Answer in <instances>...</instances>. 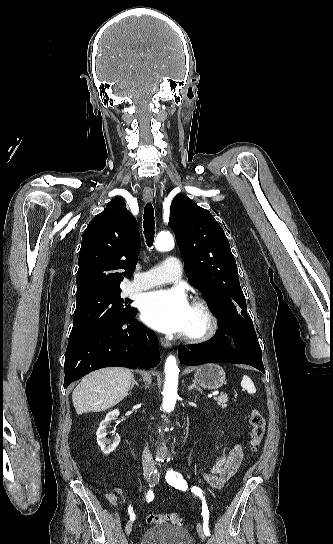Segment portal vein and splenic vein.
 Returning a JSON list of instances; mask_svg holds the SVG:
<instances>
[{"mask_svg": "<svg viewBox=\"0 0 333 544\" xmlns=\"http://www.w3.org/2000/svg\"><path fill=\"white\" fill-rule=\"evenodd\" d=\"M219 393L217 391L213 392V395L216 396L218 395Z\"/></svg>", "mask_w": 333, "mask_h": 544, "instance_id": "portal-vein-and-splenic-vein-1", "label": "portal vein and splenic vein"}]
</instances>
